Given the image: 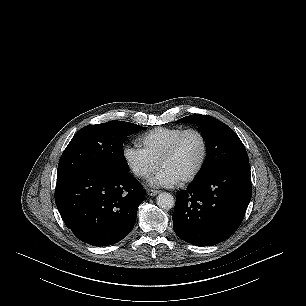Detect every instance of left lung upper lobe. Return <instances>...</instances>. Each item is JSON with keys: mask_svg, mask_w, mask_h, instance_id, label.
Masks as SVG:
<instances>
[{"mask_svg": "<svg viewBox=\"0 0 306 306\" xmlns=\"http://www.w3.org/2000/svg\"><path fill=\"white\" fill-rule=\"evenodd\" d=\"M176 123H196L205 140L207 156L197 177L224 167L249 165L242 141L223 122L208 115L195 114L181 118Z\"/></svg>", "mask_w": 306, "mask_h": 306, "instance_id": "left-lung-upper-lobe-1", "label": "left lung upper lobe"}]
</instances>
